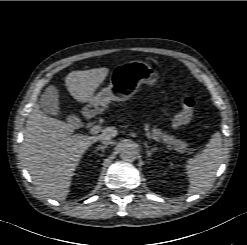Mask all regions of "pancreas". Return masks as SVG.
<instances>
[{
	"label": "pancreas",
	"mask_w": 247,
	"mask_h": 245,
	"mask_svg": "<svg viewBox=\"0 0 247 245\" xmlns=\"http://www.w3.org/2000/svg\"><path fill=\"white\" fill-rule=\"evenodd\" d=\"M154 136L159 137L167 144L169 148L174 149L180 153L189 152L192 153L194 149L188 148V144L182 140L176 139L174 136L168 135L166 132H162L161 129L154 128L152 130Z\"/></svg>",
	"instance_id": "obj_1"
}]
</instances>
